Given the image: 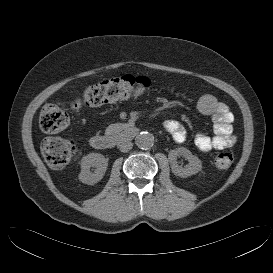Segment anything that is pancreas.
Segmentation results:
<instances>
[{
    "instance_id": "cf45deb5",
    "label": "pancreas",
    "mask_w": 273,
    "mask_h": 273,
    "mask_svg": "<svg viewBox=\"0 0 273 273\" xmlns=\"http://www.w3.org/2000/svg\"><path fill=\"white\" fill-rule=\"evenodd\" d=\"M121 131V126L119 124H111L106 128V134H116Z\"/></svg>"
}]
</instances>
